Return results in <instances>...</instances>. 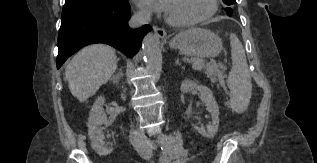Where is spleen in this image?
I'll list each match as a JSON object with an SVG mask.
<instances>
[{
	"instance_id": "3e777b00",
	"label": "spleen",
	"mask_w": 317,
	"mask_h": 163,
	"mask_svg": "<svg viewBox=\"0 0 317 163\" xmlns=\"http://www.w3.org/2000/svg\"><path fill=\"white\" fill-rule=\"evenodd\" d=\"M232 69L227 79L230 89V106L233 111L242 113L246 110L252 91V83L242 43L233 33L230 34Z\"/></svg>"
}]
</instances>
